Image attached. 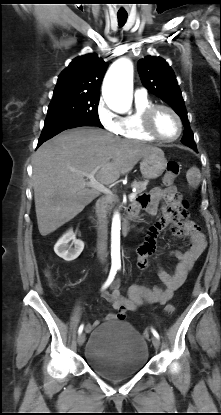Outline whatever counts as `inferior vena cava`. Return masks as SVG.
<instances>
[{"label": "inferior vena cava", "mask_w": 221, "mask_h": 415, "mask_svg": "<svg viewBox=\"0 0 221 415\" xmlns=\"http://www.w3.org/2000/svg\"><path fill=\"white\" fill-rule=\"evenodd\" d=\"M105 219V215L101 213L97 235V251L101 262H105L107 257V223Z\"/></svg>", "instance_id": "602c4592"}]
</instances>
